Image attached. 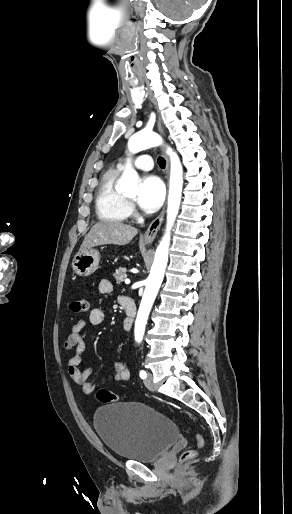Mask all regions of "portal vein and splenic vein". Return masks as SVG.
Returning <instances> with one entry per match:
<instances>
[{"label":"portal vein and splenic vein","mask_w":292,"mask_h":514,"mask_svg":"<svg viewBox=\"0 0 292 514\" xmlns=\"http://www.w3.org/2000/svg\"><path fill=\"white\" fill-rule=\"evenodd\" d=\"M125 284H130V280H125Z\"/></svg>","instance_id":"obj_1"}]
</instances>
